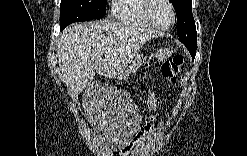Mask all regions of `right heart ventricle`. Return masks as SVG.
Returning a JSON list of instances; mask_svg holds the SVG:
<instances>
[{
	"mask_svg": "<svg viewBox=\"0 0 247 156\" xmlns=\"http://www.w3.org/2000/svg\"><path fill=\"white\" fill-rule=\"evenodd\" d=\"M145 0H118L113 2L112 13L123 23L151 28L144 15Z\"/></svg>",
	"mask_w": 247,
	"mask_h": 156,
	"instance_id": "obj_1",
	"label": "right heart ventricle"
}]
</instances>
